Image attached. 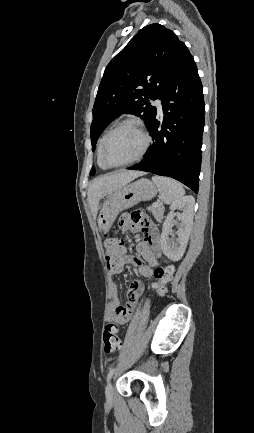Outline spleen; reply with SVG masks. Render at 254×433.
<instances>
[{"label":"spleen","mask_w":254,"mask_h":433,"mask_svg":"<svg viewBox=\"0 0 254 433\" xmlns=\"http://www.w3.org/2000/svg\"><path fill=\"white\" fill-rule=\"evenodd\" d=\"M152 180L158 187L162 200L166 204L174 203L185 194L183 186L171 178L153 176Z\"/></svg>","instance_id":"3e777b00"}]
</instances>
